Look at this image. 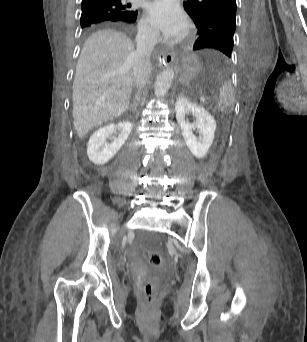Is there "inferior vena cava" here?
I'll return each instance as SVG.
<instances>
[{
	"label": "inferior vena cava",
	"instance_id": "602c4592",
	"mask_svg": "<svg viewBox=\"0 0 307 342\" xmlns=\"http://www.w3.org/2000/svg\"><path fill=\"white\" fill-rule=\"evenodd\" d=\"M156 42L157 34L156 32H153L151 28H145L143 32H140V34H137L136 36L137 50L131 54V58H133V76L136 88H144L150 78L152 70L150 56Z\"/></svg>",
	"mask_w": 307,
	"mask_h": 342
}]
</instances>
